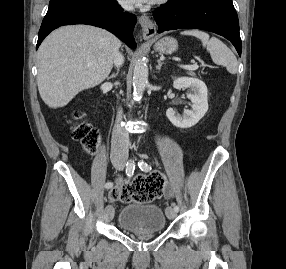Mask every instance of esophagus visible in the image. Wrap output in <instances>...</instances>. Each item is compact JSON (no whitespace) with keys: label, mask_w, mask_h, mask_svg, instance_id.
Listing matches in <instances>:
<instances>
[{"label":"esophagus","mask_w":286,"mask_h":269,"mask_svg":"<svg viewBox=\"0 0 286 269\" xmlns=\"http://www.w3.org/2000/svg\"><path fill=\"white\" fill-rule=\"evenodd\" d=\"M139 23L141 25L142 35L144 39H150L156 34V26L148 16H141Z\"/></svg>","instance_id":"34e87169"}]
</instances>
